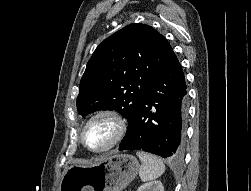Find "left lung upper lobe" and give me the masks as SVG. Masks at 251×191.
I'll return each instance as SVG.
<instances>
[{"label": "left lung upper lobe", "mask_w": 251, "mask_h": 191, "mask_svg": "<svg viewBox=\"0 0 251 191\" xmlns=\"http://www.w3.org/2000/svg\"><path fill=\"white\" fill-rule=\"evenodd\" d=\"M172 47L151 26L134 23L104 40L94 51L81 78L78 113L117 110L132 124L147 90Z\"/></svg>", "instance_id": "obj_1"}]
</instances>
